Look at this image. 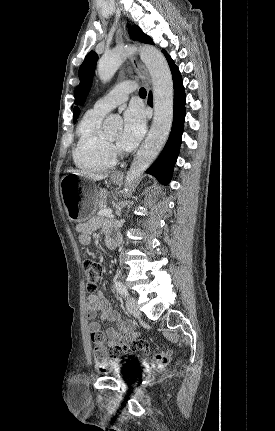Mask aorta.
Here are the masks:
<instances>
[{
	"mask_svg": "<svg viewBox=\"0 0 275 431\" xmlns=\"http://www.w3.org/2000/svg\"><path fill=\"white\" fill-rule=\"evenodd\" d=\"M136 51L146 65L152 79L154 118L151 129L127 172L125 191L152 164L163 148L171 131L173 121V80L164 55L154 47H117L106 53L98 62V76L102 82L111 80L124 60ZM121 126L120 119L109 115L104 130L111 133Z\"/></svg>",
	"mask_w": 275,
	"mask_h": 431,
	"instance_id": "aorta-1",
	"label": "aorta"
}]
</instances>
